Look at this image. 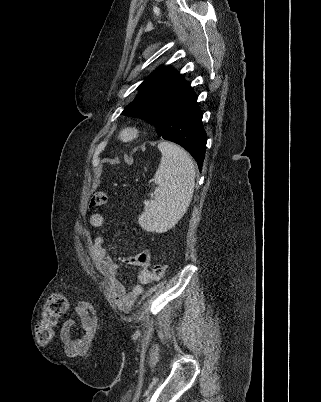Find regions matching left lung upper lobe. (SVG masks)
Returning <instances> with one entry per match:
<instances>
[{"label":"left lung upper lobe","instance_id":"obj_1","mask_svg":"<svg viewBox=\"0 0 321 402\" xmlns=\"http://www.w3.org/2000/svg\"><path fill=\"white\" fill-rule=\"evenodd\" d=\"M183 80L176 70L167 66L159 67L138 87L139 94L121 115L137 117L154 125L161 104Z\"/></svg>","mask_w":321,"mask_h":402}]
</instances>
